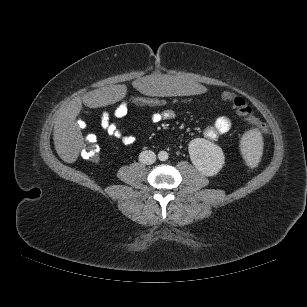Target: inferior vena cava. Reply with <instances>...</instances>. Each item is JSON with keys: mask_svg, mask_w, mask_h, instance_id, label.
<instances>
[{"mask_svg": "<svg viewBox=\"0 0 307 307\" xmlns=\"http://www.w3.org/2000/svg\"><path fill=\"white\" fill-rule=\"evenodd\" d=\"M139 161L142 164L151 165V164H153L156 161V155L151 150L142 151L139 154Z\"/></svg>", "mask_w": 307, "mask_h": 307, "instance_id": "inferior-vena-cava-1", "label": "inferior vena cava"}]
</instances>
